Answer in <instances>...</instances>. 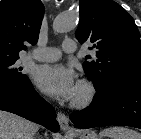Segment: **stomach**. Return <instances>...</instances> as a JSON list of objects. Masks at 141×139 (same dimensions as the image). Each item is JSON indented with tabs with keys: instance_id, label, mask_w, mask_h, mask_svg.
<instances>
[{
	"instance_id": "0dacf381",
	"label": "stomach",
	"mask_w": 141,
	"mask_h": 139,
	"mask_svg": "<svg viewBox=\"0 0 141 139\" xmlns=\"http://www.w3.org/2000/svg\"><path fill=\"white\" fill-rule=\"evenodd\" d=\"M79 139H99V138L95 132L91 130H86L80 134Z\"/></svg>"
}]
</instances>
